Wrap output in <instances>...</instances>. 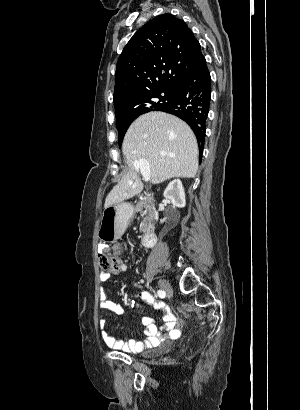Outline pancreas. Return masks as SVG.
<instances>
[{
	"instance_id": "obj_1",
	"label": "pancreas",
	"mask_w": 300,
	"mask_h": 410,
	"mask_svg": "<svg viewBox=\"0 0 300 410\" xmlns=\"http://www.w3.org/2000/svg\"><path fill=\"white\" fill-rule=\"evenodd\" d=\"M145 209V210H143ZM135 210L141 213V216H145L140 224V232L147 233L153 230L152 219L154 216L153 208L147 199L139 201Z\"/></svg>"
}]
</instances>
